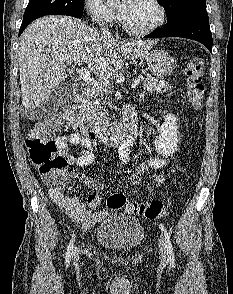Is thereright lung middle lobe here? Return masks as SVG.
Returning <instances> with one entry per match:
<instances>
[{
	"instance_id": "dd1d6c3e",
	"label": "right lung middle lobe",
	"mask_w": 233,
	"mask_h": 294,
	"mask_svg": "<svg viewBox=\"0 0 233 294\" xmlns=\"http://www.w3.org/2000/svg\"><path fill=\"white\" fill-rule=\"evenodd\" d=\"M84 0H29L22 23L46 15H67L80 18L83 16Z\"/></svg>"
}]
</instances>
